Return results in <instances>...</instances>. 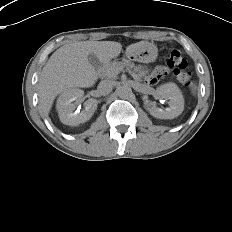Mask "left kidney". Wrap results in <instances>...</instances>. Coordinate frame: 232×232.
Returning a JSON list of instances; mask_svg holds the SVG:
<instances>
[{
  "mask_svg": "<svg viewBox=\"0 0 232 232\" xmlns=\"http://www.w3.org/2000/svg\"><path fill=\"white\" fill-rule=\"evenodd\" d=\"M158 98L168 99L169 107L158 108L155 104L147 105L149 113L159 119H173L179 116L184 110V98L182 92L175 83H166L156 89Z\"/></svg>",
  "mask_w": 232,
  "mask_h": 232,
  "instance_id": "obj_1",
  "label": "left kidney"
}]
</instances>
